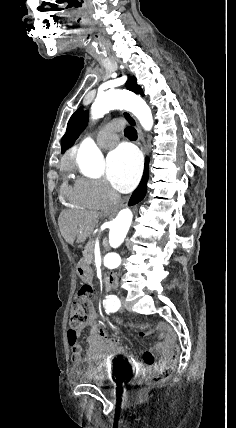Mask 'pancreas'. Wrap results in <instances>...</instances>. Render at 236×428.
Masks as SVG:
<instances>
[{
  "mask_svg": "<svg viewBox=\"0 0 236 428\" xmlns=\"http://www.w3.org/2000/svg\"><path fill=\"white\" fill-rule=\"evenodd\" d=\"M94 246H95V242L94 240H91L86 250H84L83 252V260L84 262H87V264H92V262H94V258H93Z\"/></svg>",
  "mask_w": 236,
  "mask_h": 428,
  "instance_id": "pancreas-1",
  "label": "pancreas"
}]
</instances>
